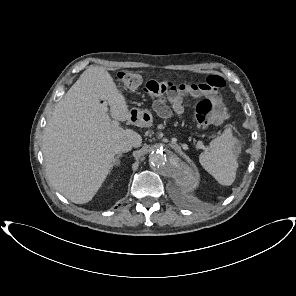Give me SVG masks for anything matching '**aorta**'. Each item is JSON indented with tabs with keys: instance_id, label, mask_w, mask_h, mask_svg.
Returning <instances> with one entry per match:
<instances>
[{
	"instance_id": "obj_1",
	"label": "aorta",
	"mask_w": 296,
	"mask_h": 296,
	"mask_svg": "<svg viewBox=\"0 0 296 296\" xmlns=\"http://www.w3.org/2000/svg\"><path fill=\"white\" fill-rule=\"evenodd\" d=\"M149 162L153 169L173 176L183 187L191 188L197 184L196 176L191 167L182 163L172 151L164 148L154 149L149 155Z\"/></svg>"
}]
</instances>
